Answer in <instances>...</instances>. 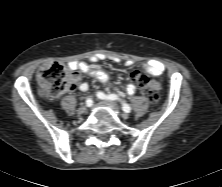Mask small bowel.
I'll return each mask as SVG.
<instances>
[{
	"instance_id": "small-bowel-1",
	"label": "small bowel",
	"mask_w": 222,
	"mask_h": 187,
	"mask_svg": "<svg viewBox=\"0 0 222 187\" xmlns=\"http://www.w3.org/2000/svg\"><path fill=\"white\" fill-rule=\"evenodd\" d=\"M102 57L101 56H92L89 61L90 63L86 62H78V61H73L69 63V67L73 70H78L80 73L87 74L90 76L95 77L100 83L106 84L109 80L108 75L100 70L95 63L100 60ZM133 63L131 61L127 62L128 66H131ZM141 69L149 74L152 75H160L164 71V66L160 61L157 60H150L146 63H144L141 66ZM136 76L133 78V82L130 83L125 90V94L128 96H131L135 93L136 91V84H135ZM78 89L81 92H86L88 90V84L85 82H79V78H76ZM98 94V93H97Z\"/></svg>"
}]
</instances>
